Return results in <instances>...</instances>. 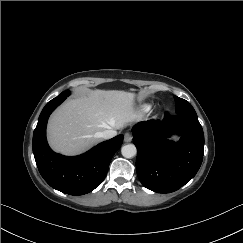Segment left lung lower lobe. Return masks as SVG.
<instances>
[{
    "instance_id": "obj_1",
    "label": "left lung lower lobe",
    "mask_w": 243,
    "mask_h": 243,
    "mask_svg": "<svg viewBox=\"0 0 243 243\" xmlns=\"http://www.w3.org/2000/svg\"><path fill=\"white\" fill-rule=\"evenodd\" d=\"M137 147L136 171L140 182L158 193H171L188 183L203 160L204 134L198 118L167 115L132 129ZM177 134L180 141L170 140Z\"/></svg>"
}]
</instances>
